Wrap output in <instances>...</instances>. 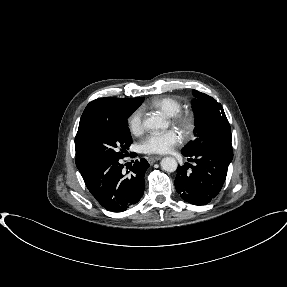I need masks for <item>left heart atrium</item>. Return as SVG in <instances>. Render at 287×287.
Returning a JSON list of instances; mask_svg holds the SVG:
<instances>
[{
	"instance_id": "obj_1",
	"label": "left heart atrium",
	"mask_w": 287,
	"mask_h": 287,
	"mask_svg": "<svg viewBox=\"0 0 287 287\" xmlns=\"http://www.w3.org/2000/svg\"><path fill=\"white\" fill-rule=\"evenodd\" d=\"M181 135L175 129L150 133L140 144L141 151L146 154H166L181 143Z\"/></svg>"
}]
</instances>
